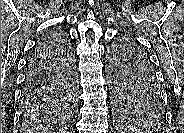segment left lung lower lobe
<instances>
[{
    "instance_id": "0a47b994",
    "label": "left lung lower lobe",
    "mask_w": 184,
    "mask_h": 133,
    "mask_svg": "<svg viewBox=\"0 0 184 133\" xmlns=\"http://www.w3.org/2000/svg\"><path fill=\"white\" fill-rule=\"evenodd\" d=\"M156 79V77H155ZM151 89L153 91H155L157 93L158 96H161V93H160V89H159V86L155 84V82H153V85L151 86ZM130 119L133 123H135L131 118H128ZM137 124V123H136ZM159 126H162V125H159Z\"/></svg>"
}]
</instances>
